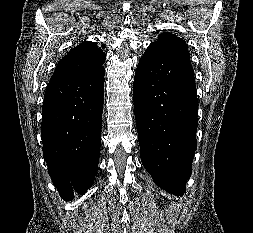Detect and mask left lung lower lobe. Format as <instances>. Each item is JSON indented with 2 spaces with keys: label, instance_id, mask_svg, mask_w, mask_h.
I'll return each instance as SVG.
<instances>
[{
  "label": "left lung lower lobe",
  "instance_id": "obj_1",
  "mask_svg": "<svg viewBox=\"0 0 253 233\" xmlns=\"http://www.w3.org/2000/svg\"><path fill=\"white\" fill-rule=\"evenodd\" d=\"M133 98L143 166L162 189L184 194L198 126L189 56L150 44L135 73Z\"/></svg>",
  "mask_w": 253,
  "mask_h": 233
}]
</instances>
